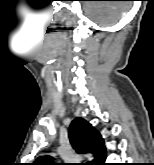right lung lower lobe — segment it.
<instances>
[{
  "label": "right lung lower lobe",
  "instance_id": "1",
  "mask_svg": "<svg viewBox=\"0 0 154 165\" xmlns=\"http://www.w3.org/2000/svg\"><path fill=\"white\" fill-rule=\"evenodd\" d=\"M106 160V149L104 146V143L100 146V149L98 151V154L92 161L91 165H106L105 163Z\"/></svg>",
  "mask_w": 154,
  "mask_h": 165
}]
</instances>
